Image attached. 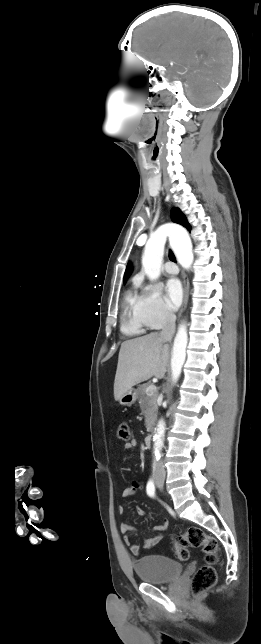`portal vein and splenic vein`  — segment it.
<instances>
[{"label":"portal vein and splenic vein","mask_w":261,"mask_h":644,"mask_svg":"<svg viewBox=\"0 0 261 644\" xmlns=\"http://www.w3.org/2000/svg\"><path fill=\"white\" fill-rule=\"evenodd\" d=\"M154 391H156V386L155 385H149L146 389V393L148 395L152 394Z\"/></svg>","instance_id":"obj_1"}]
</instances>
